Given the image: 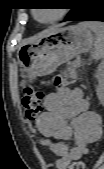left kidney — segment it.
Segmentation results:
<instances>
[{
  "instance_id": "1",
  "label": "left kidney",
  "mask_w": 104,
  "mask_h": 169,
  "mask_svg": "<svg viewBox=\"0 0 104 169\" xmlns=\"http://www.w3.org/2000/svg\"><path fill=\"white\" fill-rule=\"evenodd\" d=\"M103 69L104 65L100 64L97 70V77H98V86L96 88L97 96L101 102L104 101V78H103Z\"/></svg>"
}]
</instances>
